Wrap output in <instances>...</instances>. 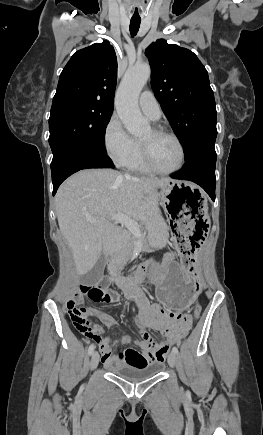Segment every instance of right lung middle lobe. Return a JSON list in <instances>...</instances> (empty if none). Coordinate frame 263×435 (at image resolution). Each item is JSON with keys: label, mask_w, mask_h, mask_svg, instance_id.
I'll return each instance as SVG.
<instances>
[{"label": "right lung middle lobe", "mask_w": 263, "mask_h": 435, "mask_svg": "<svg viewBox=\"0 0 263 435\" xmlns=\"http://www.w3.org/2000/svg\"><path fill=\"white\" fill-rule=\"evenodd\" d=\"M113 107L94 102L52 106L49 144L56 157L66 146H81L105 153V130Z\"/></svg>", "instance_id": "dd1d6c3e"}]
</instances>
